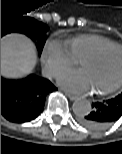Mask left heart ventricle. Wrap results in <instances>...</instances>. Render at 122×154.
Wrapping results in <instances>:
<instances>
[{"mask_svg": "<svg viewBox=\"0 0 122 154\" xmlns=\"http://www.w3.org/2000/svg\"><path fill=\"white\" fill-rule=\"evenodd\" d=\"M91 91H99L114 84L122 76V51L113 50L97 60L80 64Z\"/></svg>", "mask_w": 122, "mask_h": 154, "instance_id": "b2bd125f", "label": "left heart ventricle"}]
</instances>
